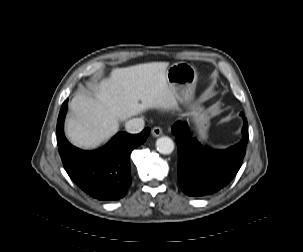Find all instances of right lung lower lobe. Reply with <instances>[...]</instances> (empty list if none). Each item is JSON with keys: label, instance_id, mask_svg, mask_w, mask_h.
I'll return each instance as SVG.
<instances>
[{"label": "right lung lower lobe", "instance_id": "obj_1", "mask_svg": "<svg viewBox=\"0 0 303 252\" xmlns=\"http://www.w3.org/2000/svg\"><path fill=\"white\" fill-rule=\"evenodd\" d=\"M66 100L61 107L57 121V141L64 168L71 180L83 191L99 200L122 198L130 184L129 154L144 143L149 128L140 134L117 133L104 147L95 151H84L74 147L64 135Z\"/></svg>", "mask_w": 303, "mask_h": 252}]
</instances>
